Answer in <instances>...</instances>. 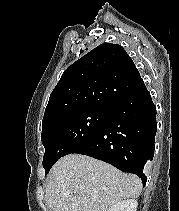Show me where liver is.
Returning <instances> with one entry per match:
<instances>
[{
    "mask_svg": "<svg viewBox=\"0 0 179 211\" xmlns=\"http://www.w3.org/2000/svg\"><path fill=\"white\" fill-rule=\"evenodd\" d=\"M140 178L81 154L59 159L47 177L45 200L51 211H109L125 199L138 198Z\"/></svg>",
    "mask_w": 179,
    "mask_h": 211,
    "instance_id": "1",
    "label": "liver"
}]
</instances>
